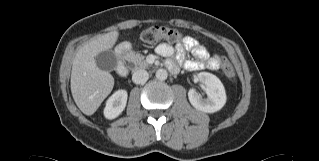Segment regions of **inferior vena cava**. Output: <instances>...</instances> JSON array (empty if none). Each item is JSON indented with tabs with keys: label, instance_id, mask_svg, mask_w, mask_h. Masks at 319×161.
Wrapping results in <instances>:
<instances>
[{
	"label": "inferior vena cava",
	"instance_id": "obj_1",
	"mask_svg": "<svg viewBox=\"0 0 319 161\" xmlns=\"http://www.w3.org/2000/svg\"><path fill=\"white\" fill-rule=\"evenodd\" d=\"M149 78V74L146 70H136L132 75V81L135 84H144Z\"/></svg>",
	"mask_w": 319,
	"mask_h": 161
}]
</instances>
